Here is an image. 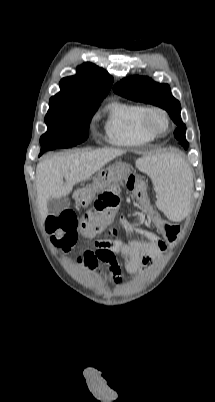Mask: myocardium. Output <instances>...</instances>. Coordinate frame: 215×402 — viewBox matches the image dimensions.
<instances>
[{"instance_id": "1", "label": "myocardium", "mask_w": 215, "mask_h": 402, "mask_svg": "<svg viewBox=\"0 0 215 402\" xmlns=\"http://www.w3.org/2000/svg\"><path fill=\"white\" fill-rule=\"evenodd\" d=\"M155 114L161 115L164 120H165V127L162 130H156L153 128L151 125V117ZM141 125L143 130L153 136V137H160L168 133L171 125L170 117L168 112L159 106H148L145 107L143 113H142V118H141Z\"/></svg>"}]
</instances>
